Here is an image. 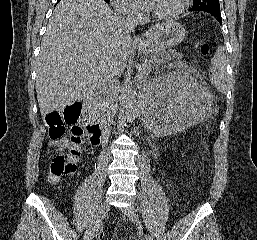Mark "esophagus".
Instances as JSON below:
<instances>
[{"label": "esophagus", "mask_w": 257, "mask_h": 240, "mask_svg": "<svg viewBox=\"0 0 257 240\" xmlns=\"http://www.w3.org/2000/svg\"><path fill=\"white\" fill-rule=\"evenodd\" d=\"M141 40H140V38L139 37H135V39H134V42L135 43H138V42H140Z\"/></svg>", "instance_id": "1"}]
</instances>
